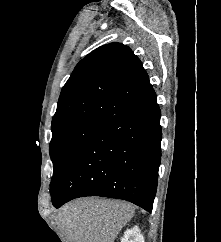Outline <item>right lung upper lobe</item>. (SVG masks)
I'll return each instance as SVG.
<instances>
[{"instance_id": "right-lung-upper-lobe-1", "label": "right lung upper lobe", "mask_w": 221, "mask_h": 242, "mask_svg": "<svg viewBox=\"0 0 221 242\" xmlns=\"http://www.w3.org/2000/svg\"><path fill=\"white\" fill-rule=\"evenodd\" d=\"M152 88L139 58L121 43L101 46L75 67L62 88L51 128L104 121Z\"/></svg>"}]
</instances>
